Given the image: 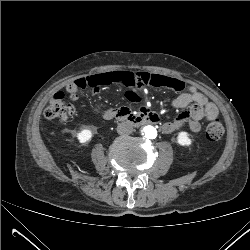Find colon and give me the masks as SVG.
I'll list each match as a JSON object with an SVG mask.
<instances>
[{"instance_id": "colon-1", "label": "colon", "mask_w": 250, "mask_h": 250, "mask_svg": "<svg viewBox=\"0 0 250 250\" xmlns=\"http://www.w3.org/2000/svg\"><path fill=\"white\" fill-rule=\"evenodd\" d=\"M166 79L156 74H135L125 70H115L96 74L87 78H80L70 82L65 92L60 91L55 93L45 108L44 114L49 119H58L67 121L76 113V107L73 103L66 100V93L70 96L76 94L87 88H98L99 86H106L114 83L123 84L131 87L137 84H146L153 87H159ZM224 134V127L222 122L216 117L211 120L206 128V137L210 141H217L222 138Z\"/></svg>"}]
</instances>
